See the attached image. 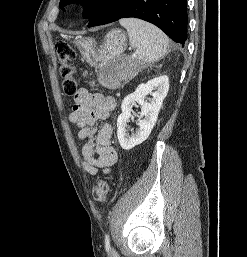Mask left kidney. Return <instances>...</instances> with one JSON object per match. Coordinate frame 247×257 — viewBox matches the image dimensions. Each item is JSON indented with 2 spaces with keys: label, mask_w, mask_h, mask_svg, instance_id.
Returning <instances> with one entry per match:
<instances>
[{
  "label": "left kidney",
  "mask_w": 247,
  "mask_h": 257,
  "mask_svg": "<svg viewBox=\"0 0 247 257\" xmlns=\"http://www.w3.org/2000/svg\"><path fill=\"white\" fill-rule=\"evenodd\" d=\"M168 90L169 79L166 75H163L140 84L133 93L124 98L121 104L122 113L117 119V137L122 149L130 150L148 138L157 121ZM149 94L152 98L148 102L145 98ZM136 103L141 105L139 128L129 136L126 133V124L131 118L132 107Z\"/></svg>",
  "instance_id": "obj_1"
}]
</instances>
